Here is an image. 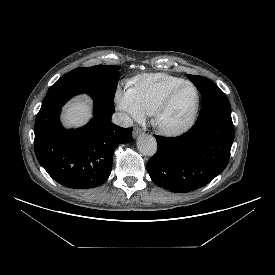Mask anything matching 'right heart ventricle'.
Returning <instances> with one entry per match:
<instances>
[{
  "mask_svg": "<svg viewBox=\"0 0 275 275\" xmlns=\"http://www.w3.org/2000/svg\"><path fill=\"white\" fill-rule=\"evenodd\" d=\"M184 81L164 73H150L136 77L133 89L139 106L145 114L150 115L164 95Z\"/></svg>",
  "mask_w": 275,
  "mask_h": 275,
  "instance_id": "1",
  "label": "right heart ventricle"
}]
</instances>
